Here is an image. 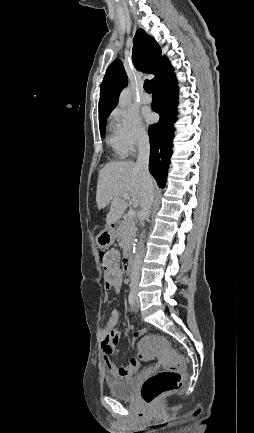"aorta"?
Instances as JSON below:
<instances>
[{
	"mask_svg": "<svg viewBox=\"0 0 254 433\" xmlns=\"http://www.w3.org/2000/svg\"><path fill=\"white\" fill-rule=\"evenodd\" d=\"M131 102V96L127 89L123 90L119 96V106L126 107Z\"/></svg>",
	"mask_w": 254,
	"mask_h": 433,
	"instance_id": "obj_1",
	"label": "aorta"
}]
</instances>
